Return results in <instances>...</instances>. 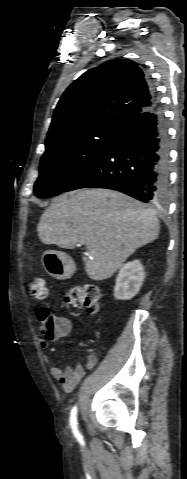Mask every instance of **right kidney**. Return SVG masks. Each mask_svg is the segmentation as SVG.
<instances>
[{
  "mask_svg": "<svg viewBox=\"0 0 187 479\" xmlns=\"http://www.w3.org/2000/svg\"><path fill=\"white\" fill-rule=\"evenodd\" d=\"M144 278L145 271L140 260H134L124 264L116 277V283L114 287L115 299H132L139 292Z\"/></svg>",
  "mask_w": 187,
  "mask_h": 479,
  "instance_id": "1",
  "label": "right kidney"
}]
</instances>
